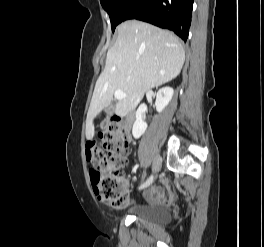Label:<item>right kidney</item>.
Listing matches in <instances>:
<instances>
[{
  "instance_id": "obj_1",
  "label": "right kidney",
  "mask_w": 264,
  "mask_h": 247,
  "mask_svg": "<svg viewBox=\"0 0 264 247\" xmlns=\"http://www.w3.org/2000/svg\"><path fill=\"white\" fill-rule=\"evenodd\" d=\"M174 94L171 87L161 88L156 94L155 107L157 112L161 113L164 108L169 104ZM146 111V105L142 104L136 112V120L132 128V135L135 139L140 138L147 129V124L143 122L142 115Z\"/></svg>"
}]
</instances>
